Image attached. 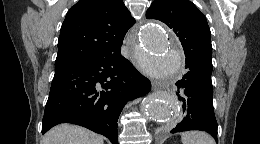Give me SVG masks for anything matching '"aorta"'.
<instances>
[{
	"label": "aorta",
	"mask_w": 260,
	"mask_h": 144,
	"mask_svg": "<svg viewBox=\"0 0 260 144\" xmlns=\"http://www.w3.org/2000/svg\"><path fill=\"white\" fill-rule=\"evenodd\" d=\"M146 57L138 59L140 68L150 78L168 80L182 66V55L176 38L159 22L148 21L139 34ZM142 113L147 121L163 122L169 128L181 119L176 97L167 92H154L142 101Z\"/></svg>",
	"instance_id": "obj_1"
}]
</instances>
